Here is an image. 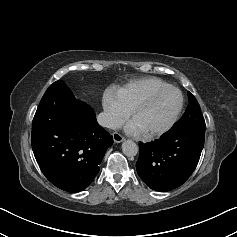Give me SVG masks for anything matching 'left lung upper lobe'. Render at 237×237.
Instances as JSON below:
<instances>
[{
  "label": "left lung upper lobe",
  "instance_id": "1",
  "mask_svg": "<svg viewBox=\"0 0 237 237\" xmlns=\"http://www.w3.org/2000/svg\"><path fill=\"white\" fill-rule=\"evenodd\" d=\"M189 105L182 118L175 124L172 129L201 128L205 129V120L201 113L199 103L196 98L188 92Z\"/></svg>",
  "mask_w": 237,
  "mask_h": 237
}]
</instances>
